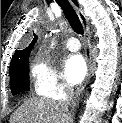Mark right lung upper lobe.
<instances>
[{
  "label": "right lung upper lobe",
  "instance_id": "right-lung-upper-lobe-1",
  "mask_svg": "<svg viewBox=\"0 0 122 123\" xmlns=\"http://www.w3.org/2000/svg\"><path fill=\"white\" fill-rule=\"evenodd\" d=\"M74 3L77 5V2L76 0H73ZM37 41V36L34 34V39L33 41L30 43V45L24 49V50H16L15 51V54L11 60V65H10V70L19 66L21 63H23L24 61L26 60H29L28 57H29V54L35 44V42Z\"/></svg>",
  "mask_w": 122,
  "mask_h": 123
}]
</instances>
